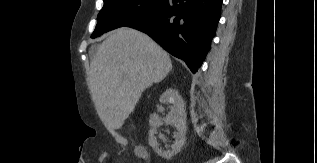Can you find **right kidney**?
Returning a JSON list of instances; mask_svg holds the SVG:
<instances>
[{
  "mask_svg": "<svg viewBox=\"0 0 317 163\" xmlns=\"http://www.w3.org/2000/svg\"><path fill=\"white\" fill-rule=\"evenodd\" d=\"M159 101L161 103H170L171 111L163 119L166 124L173 125L177 132L174 133V143L168 150H162L156 140L155 129L158 122L161 120L158 114L153 113L150 115L149 124L152 127L149 131V144L155 150V152L164 159H171L174 155L180 152L182 146L186 141V107L183 98L179 95L178 91L172 88L167 89L161 96Z\"/></svg>",
  "mask_w": 317,
  "mask_h": 163,
  "instance_id": "obj_1",
  "label": "right kidney"
}]
</instances>
